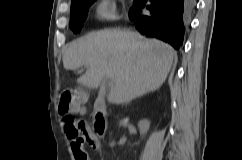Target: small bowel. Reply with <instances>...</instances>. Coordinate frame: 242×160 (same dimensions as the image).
<instances>
[{"mask_svg": "<svg viewBox=\"0 0 242 160\" xmlns=\"http://www.w3.org/2000/svg\"><path fill=\"white\" fill-rule=\"evenodd\" d=\"M77 112L78 113H83L84 110H83V108H80V109L77 110ZM86 136H87V140L84 143H82L81 147H80V150L82 152H85V150H84V146L85 145H89L91 147L97 145V140L94 138L93 134L91 132H89L88 130H86ZM72 150H73V152L75 154L76 160H79V158H78V150L75 147H73V144H72Z\"/></svg>", "mask_w": 242, "mask_h": 160, "instance_id": "1", "label": "small bowel"}]
</instances>
